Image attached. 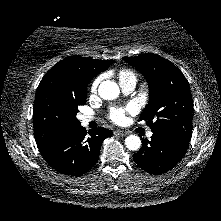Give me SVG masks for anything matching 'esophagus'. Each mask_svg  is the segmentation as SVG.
I'll return each instance as SVG.
<instances>
[{"mask_svg":"<svg viewBox=\"0 0 221 221\" xmlns=\"http://www.w3.org/2000/svg\"><path fill=\"white\" fill-rule=\"evenodd\" d=\"M114 135H117V136H126L127 135V132L123 131V130H115L114 131Z\"/></svg>","mask_w":221,"mask_h":221,"instance_id":"34e87169","label":"esophagus"}]
</instances>
